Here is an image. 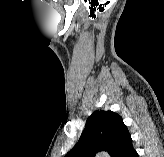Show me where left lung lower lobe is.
<instances>
[{
    "label": "left lung lower lobe",
    "mask_w": 164,
    "mask_h": 157,
    "mask_svg": "<svg viewBox=\"0 0 164 157\" xmlns=\"http://www.w3.org/2000/svg\"><path fill=\"white\" fill-rule=\"evenodd\" d=\"M112 157H139L136 150L132 146L131 137L119 146Z\"/></svg>",
    "instance_id": "1"
}]
</instances>
